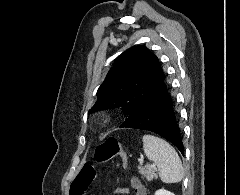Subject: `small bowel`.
I'll return each mask as SVG.
<instances>
[{"mask_svg": "<svg viewBox=\"0 0 240 195\" xmlns=\"http://www.w3.org/2000/svg\"><path fill=\"white\" fill-rule=\"evenodd\" d=\"M130 186L132 188L133 195H147V190L139 178L132 177L130 179ZM117 191L121 195H129L130 194V189L125 188V187L118 188Z\"/></svg>", "mask_w": 240, "mask_h": 195, "instance_id": "small-bowel-1", "label": "small bowel"}]
</instances>
